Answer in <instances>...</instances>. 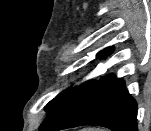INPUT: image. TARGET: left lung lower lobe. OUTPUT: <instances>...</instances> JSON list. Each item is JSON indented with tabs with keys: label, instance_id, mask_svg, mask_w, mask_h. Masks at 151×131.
I'll list each match as a JSON object with an SVG mask.
<instances>
[{
	"label": "left lung lower lobe",
	"instance_id": "0a47b994",
	"mask_svg": "<svg viewBox=\"0 0 151 131\" xmlns=\"http://www.w3.org/2000/svg\"><path fill=\"white\" fill-rule=\"evenodd\" d=\"M96 125L112 131H138L137 104L115 76L88 80L71 87L62 103L50 112L39 131H59Z\"/></svg>",
	"mask_w": 151,
	"mask_h": 131
}]
</instances>
